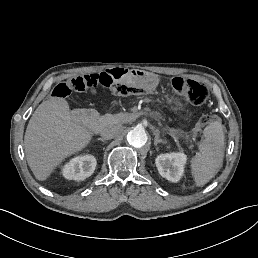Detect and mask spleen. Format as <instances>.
<instances>
[{
  "mask_svg": "<svg viewBox=\"0 0 258 258\" xmlns=\"http://www.w3.org/2000/svg\"><path fill=\"white\" fill-rule=\"evenodd\" d=\"M205 139L199 144L191 160L197 185H204L221 168L224 158L225 136L221 123L212 121L203 130Z\"/></svg>",
  "mask_w": 258,
  "mask_h": 258,
  "instance_id": "obj_1",
  "label": "spleen"
}]
</instances>
